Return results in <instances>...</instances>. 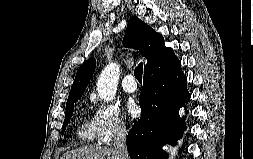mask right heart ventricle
I'll list each match as a JSON object with an SVG mask.
<instances>
[{"label": "right heart ventricle", "mask_w": 253, "mask_h": 159, "mask_svg": "<svg viewBox=\"0 0 253 159\" xmlns=\"http://www.w3.org/2000/svg\"><path fill=\"white\" fill-rule=\"evenodd\" d=\"M76 134L78 139L84 143H95L97 140V131L93 120L84 116L79 122Z\"/></svg>", "instance_id": "e07e8e85"}]
</instances>
